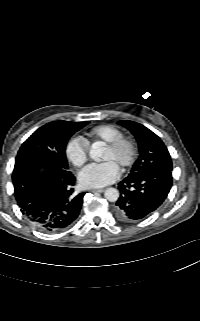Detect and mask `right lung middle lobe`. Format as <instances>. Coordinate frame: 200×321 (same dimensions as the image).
Wrapping results in <instances>:
<instances>
[{
  "mask_svg": "<svg viewBox=\"0 0 200 321\" xmlns=\"http://www.w3.org/2000/svg\"><path fill=\"white\" fill-rule=\"evenodd\" d=\"M89 122L53 121L36 130L20 147L16 163L38 158L68 170L66 145L70 137Z\"/></svg>",
  "mask_w": 200,
  "mask_h": 321,
  "instance_id": "1",
  "label": "right lung middle lobe"
}]
</instances>
